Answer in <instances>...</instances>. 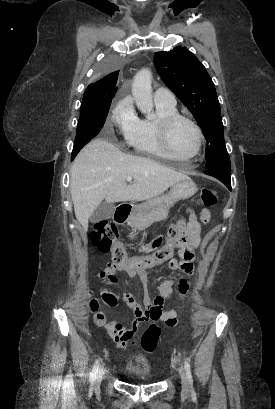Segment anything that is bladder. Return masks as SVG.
Masks as SVG:
<instances>
[{
	"label": "bladder",
	"instance_id": "obj_1",
	"mask_svg": "<svg viewBox=\"0 0 275 409\" xmlns=\"http://www.w3.org/2000/svg\"><path fill=\"white\" fill-rule=\"evenodd\" d=\"M125 372L135 382L152 384L154 381L150 365L146 362L133 361L126 365Z\"/></svg>",
	"mask_w": 275,
	"mask_h": 409
}]
</instances>
